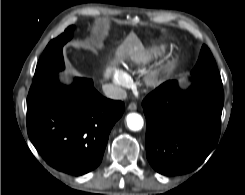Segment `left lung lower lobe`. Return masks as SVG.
<instances>
[{
	"label": "left lung lower lobe",
	"mask_w": 245,
	"mask_h": 195,
	"mask_svg": "<svg viewBox=\"0 0 245 195\" xmlns=\"http://www.w3.org/2000/svg\"><path fill=\"white\" fill-rule=\"evenodd\" d=\"M223 104V88L207 84L194 83L182 91L172 80L151 92L142 106L152 167L174 176L201 165L218 142Z\"/></svg>",
	"instance_id": "left-lung-lower-lobe-1"
}]
</instances>
